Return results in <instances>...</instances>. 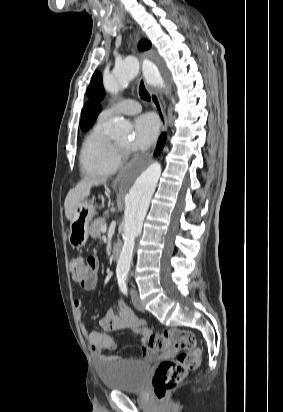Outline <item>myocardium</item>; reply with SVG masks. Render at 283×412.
<instances>
[{
    "label": "myocardium",
    "mask_w": 283,
    "mask_h": 412,
    "mask_svg": "<svg viewBox=\"0 0 283 412\" xmlns=\"http://www.w3.org/2000/svg\"><path fill=\"white\" fill-rule=\"evenodd\" d=\"M114 146L117 152L118 157L120 158L121 161L128 159L130 152L128 147H124L117 142H114Z\"/></svg>",
    "instance_id": "1"
}]
</instances>
